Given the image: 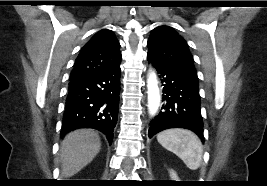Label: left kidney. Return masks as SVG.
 <instances>
[{
  "label": "left kidney",
  "mask_w": 267,
  "mask_h": 186,
  "mask_svg": "<svg viewBox=\"0 0 267 186\" xmlns=\"http://www.w3.org/2000/svg\"><path fill=\"white\" fill-rule=\"evenodd\" d=\"M171 177L173 178L174 181H178V177L174 171L171 172Z\"/></svg>",
  "instance_id": "1"
}]
</instances>
